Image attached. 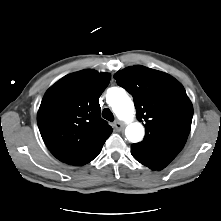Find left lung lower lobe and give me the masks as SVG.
<instances>
[{
  "label": "left lung lower lobe",
  "instance_id": "0a47b994",
  "mask_svg": "<svg viewBox=\"0 0 221 221\" xmlns=\"http://www.w3.org/2000/svg\"><path fill=\"white\" fill-rule=\"evenodd\" d=\"M131 154L138 162L152 170H162L170 163L155 157L138 144L131 145Z\"/></svg>",
  "mask_w": 221,
  "mask_h": 221
}]
</instances>
